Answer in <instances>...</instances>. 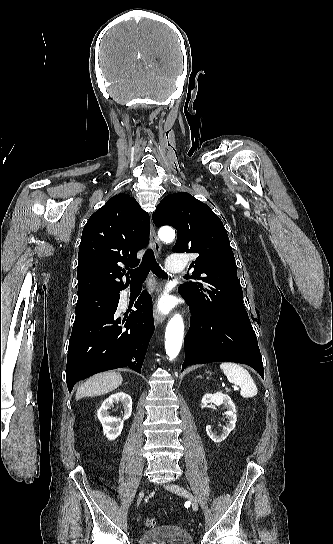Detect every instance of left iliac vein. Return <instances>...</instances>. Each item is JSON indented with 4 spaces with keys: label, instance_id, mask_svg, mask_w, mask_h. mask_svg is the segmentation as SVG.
I'll list each match as a JSON object with an SVG mask.
<instances>
[{
    "label": "left iliac vein",
    "instance_id": "obj_1",
    "mask_svg": "<svg viewBox=\"0 0 333 544\" xmlns=\"http://www.w3.org/2000/svg\"><path fill=\"white\" fill-rule=\"evenodd\" d=\"M165 488L179 496L187 498L192 505L194 511H198V502L194 495L181 485L169 483L165 485Z\"/></svg>",
    "mask_w": 333,
    "mask_h": 544
}]
</instances>
